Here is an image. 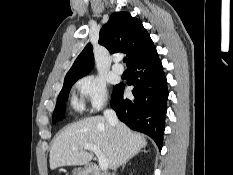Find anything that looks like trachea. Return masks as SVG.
<instances>
[{
    "label": "trachea",
    "instance_id": "trachea-1",
    "mask_svg": "<svg viewBox=\"0 0 233 175\" xmlns=\"http://www.w3.org/2000/svg\"><path fill=\"white\" fill-rule=\"evenodd\" d=\"M127 61V58L125 57V58H123V62H126Z\"/></svg>",
    "mask_w": 233,
    "mask_h": 175
}]
</instances>
